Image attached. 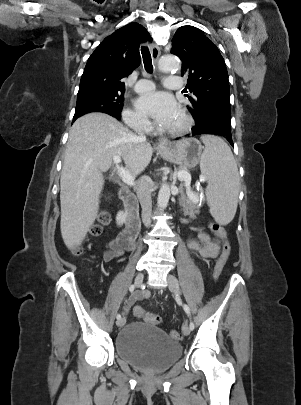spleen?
<instances>
[{
    "mask_svg": "<svg viewBox=\"0 0 301 405\" xmlns=\"http://www.w3.org/2000/svg\"><path fill=\"white\" fill-rule=\"evenodd\" d=\"M205 149L200 159L202 176L207 180V202L210 213L221 225H227L235 216L239 174L237 164L229 146L217 136L201 137Z\"/></svg>",
    "mask_w": 301,
    "mask_h": 405,
    "instance_id": "3e777b00",
    "label": "spleen"
}]
</instances>
